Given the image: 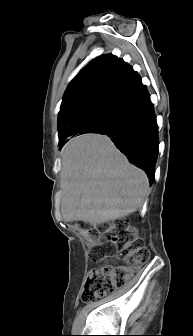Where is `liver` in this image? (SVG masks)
I'll use <instances>...</instances> for the list:
<instances>
[{
  "instance_id": "6515ba94",
  "label": "liver",
  "mask_w": 193,
  "mask_h": 336,
  "mask_svg": "<svg viewBox=\"0 0 193 336\" xmlns=\"http://www.w3.org/2000/svg\"><path fill=\"white\" fill-rule=\"evenodd\" d=\"M60 156L64 221H83L96 227L142 207L149 180L109 137L77 136L64 145Z\"/></svg>"
}]
</instances>
